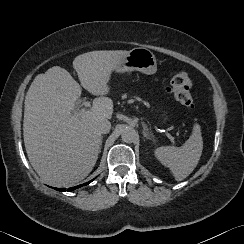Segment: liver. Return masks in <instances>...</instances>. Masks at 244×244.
I'll return each instance as SVG.
<instances>
[{
  "mask_svg": "<svg viewBox=\"0 0 244 244\" xmlns=\"http://www.w3.org/2000/svg\"><path fill=\"white\" fill-rule=\"evenodd\" d=\"M127 53L92 51L73 60L81 86L97 96L90 110L73 112L82 88L66 69L53 66L33 80L25 98L23 136L29 161L43 180L68 186L93 170L102 142L96 124L113 114L108 82Z\"/></svg>",
  "mask_w": 244,
  "mask_h": 244,
  "instance_id": "1",
  "label": "liver"
}]
</instances>
